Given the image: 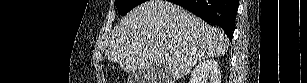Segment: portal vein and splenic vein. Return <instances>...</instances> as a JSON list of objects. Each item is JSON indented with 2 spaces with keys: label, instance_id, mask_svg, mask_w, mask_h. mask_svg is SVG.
Returning <instances> with one entry per match:
<instances>
[{
  "label": "portal vein and splenic vein",
  "instance_id": "portal-vein-and-splenic-vein-1",
  "mask_svg": "<svg viewBox=\"0 0 307 83\" xmlns=\"http://www.w3.org/2000/svg\"><path fill=\"white\" fill-rule=\"evenodd\" d=\"M172 54H178V52H176L175 50H171L170 51Z\"/></svg>",
  "mask_w": 307,
  "mask_h": 83
}]
</instances>
